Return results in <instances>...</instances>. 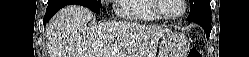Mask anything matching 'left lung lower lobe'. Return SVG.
Listing matches in <instances>:
<instances>
[{
    "label": "left lung lower lobe",
    "instance_id": "1",
    "mask_svg": "<svg viewBox=\"0 0 249 57\" xmlns=\"http://www.w3.org/2000/svg\"><path fill=\"white\" fill-rule=\"evenodd\" d=\"M194 22L198 23L199 25L202 26V28L206 32L207 38H209L210 32H211V21H205V20H194Z\"/></svg>",
    "mask_w": 249,
    "mask_h": 57
}]
</instances>
